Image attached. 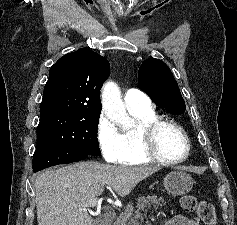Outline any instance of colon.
<instances>
[{
	"instance_id": "5ec220e1",
	"label": "colon",
	"mask_w": 237,
	"mask_h": 225,
	"mask_svg": "<svg viewBox=\"0 0 237 225\" xmlns=\"http://www.w3.org/2000/svg\"><path fill=\"white\" fill-rule=\"evenodd\" d=\"M183 211L186 213L196 212L201 221L206 225L216 224V211L213 204L207 201H198L193 195H186L180 201Z\"/></svg>"
}]
</instances>
